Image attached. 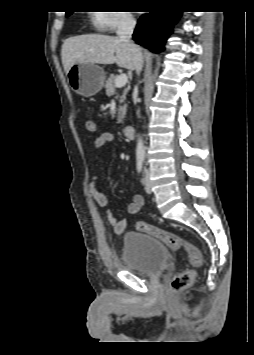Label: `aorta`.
Returning <instances> with one entry per match:
<instances>
[{
    "instance_id": "aorta-1",
    "label": "aorta",
    "mask_w": 254,
    "mask_h": 355,
    "mask_svg": "<svg viewBox=\"0 0 254 355\" xmlns=\"http://www.w3.org/2000/svg\"><path fill=\"white\" fill-rule=\"evenodd\" d=\"M136 155L138 157H144L145 156L144 142H143L141 136H139L138 139H137Z\"/></svg>"
}]
</instances>
